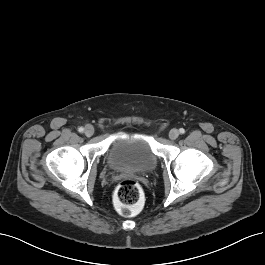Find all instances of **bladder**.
<instances>
[{"mask_svg": "<svg viewBox=\"0 0 265 265\" xmlns=\"http://www.w3.org/2000/svg\"><path fill=\"white\" fill-rule=\"evenodd\" d=\"M157 162L151 143L140 132L116 139L108 152L109 165L118 171L147 172Z\"/></svg>", "mask_w": 265, "mask_h": 265, "instance_id": "31cf9c89", "label": "bladder"}]
</instances>
